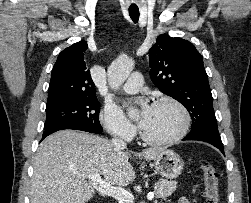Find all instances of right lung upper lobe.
Returning a JSON list of instances; mask_svg holds the SVG:
<instances>
[{"label":"right lung upper lobe","mask_w":251,"mask_h":203,"mask_svg":"<svg viewBox=\"0 0 251 203\" xmlns=\"http://www.w3.org/2000/svg\"><path fill=\"white\" fill-rule=\"evenodd\" d=\"M82 40L63 50L52 69L46 107L96 97L95 84L86 69Z\"/></svg>","instance_id":"cb5924a9"}]
</instances>
